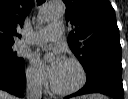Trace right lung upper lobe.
Wrapping results in <instances>:
<instances>
[{
	"label": "right lung upper lobe",
	"instance_id": "1",
	"mask_svg": "<svg viewBox=\"0 0 128 99\" xmlns=\"http://www.w3.org/2000/svg\"><path fill=\"white\" fill-rule=\"evenodd\" d=\"M34 0H0V43H14L17 26H23Z\"/></svg>",
	"mask_w": 128,
	"mask_h": 99
}]
</instances>
